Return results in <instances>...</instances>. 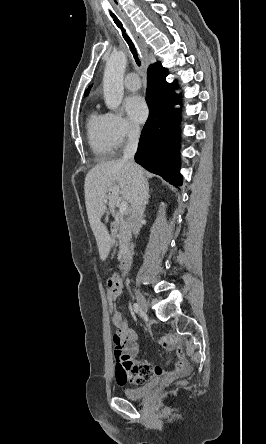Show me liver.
<instances>
[{"label": "liver", "instance_id": "obj_1", "mask_svg": "<svg viewBox=\"0 0 266 444\" xmlns=\"http://www.w3.org/2000/svg\"><path fill=\"white\" fill-rule=\"evenodd\" d=\"M135 170L144 175L140 166L130 161L116 159L96 165L86 175L84 183L86 210L102 261L108 257L113 240L101 219L107 210V205L110 212L114 213L119 194L131 203Z\"/></svg>", "mask_w": 266, "mask_h": 444}]
</instances>
